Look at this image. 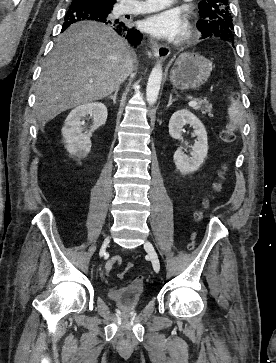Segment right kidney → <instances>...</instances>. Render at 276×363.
Instances as JSON below:
<instances>
[{"label":"right kidney","instance_id":"right-kidney-1","mask_svg":"<svg viewBox=\"0 0 276 363\" xmlns=\"http://www.w3.org/2000/svg\"><path fill=\"white\" fill-rule=\"evenodd\" d=\"M93 118L89 131L83 133V117ZM108 111L100 102L86 103L74 108L67 116L62 127L63 143L70 155L85 158L91 150L92 133L106 123Z\"/></svg>","mask_w":276,"mask_h":363}]
</instances>
